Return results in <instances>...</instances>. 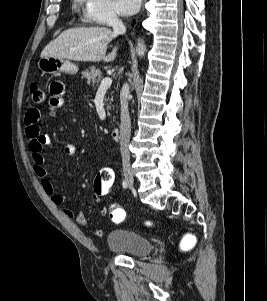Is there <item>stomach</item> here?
I'll return each instance as SVG.
<instances>
[{"label": "stomach", "instance_id": "obj_1", "mask_svg": "<svg viewBox=\"0 0 267 301\" xmlns=\"http://www.w3.org/2000/svg\"><path fill=\"white\" fill-rule=\"evenodd\" d=\"M38 68L43 73H66L74 75L78 72V66L71 61L62 58L44 57L38 61Z\"/></svg>", "mask_w": 267, "mask_h": 301}]
</instances>
